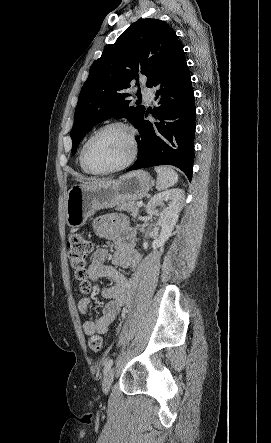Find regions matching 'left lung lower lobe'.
Instances as JSON below:
<instances>
[{
  "label": "left lung lower lobe",
  "instance_id": "obj_1",
  "mask_svg": "<svg viewBox=\"0 0 271 443\" xmlns=\"http://www.w3.org/2000/svg\"><path fill=\"white\" fill-rule=\"evenodd\" d=\"M158 107L145 111L137 126L139 154L126 171L157 165H173L192 179L196 107L183 46H176L152 76ZM148 112L158 120L145 121Z\"/></svg>",
  "mask_w": 271,
  "mask_h": 443
}]
</instances>
